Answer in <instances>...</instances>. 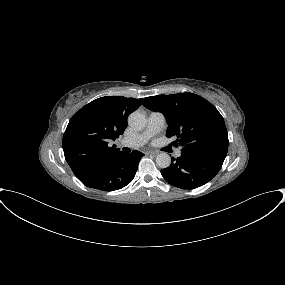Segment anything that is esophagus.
<instances>
[{"instance_id": "esophagus-1", "label": "esophagus", "mask_w": 285, "mask_h": 285, "mask_svg": "<svg viewBox=\"0 0 285 285\" xmlns=\"http://www.w3.org/2000/svg\"><path fill=\"white\" fill-rule=\"evenodd\" d=\"M146 154L155 156V155H157V152H155V151H148Z\"/></svg>"}]
</instances>
